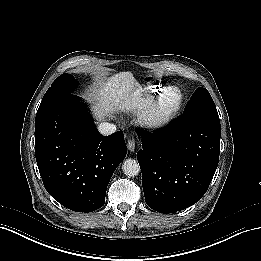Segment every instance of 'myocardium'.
<instances>
[{
    "instance_id": "obj_1",
    "label": "myocardium",
    "mask_w": 261,
    "mask_h": 261,
    "mask_svg": "<svg viewBox=\"0 0 261 261\" xmlns=\"http://www.w3.org/2000/svg\"><path fill=\"white\" fill-rule=\"evenodd\" d=\"M170 93V92H168ZM161 97H157L152 103L142 112L139 121L143 126L150 128L160 127L167 123L180 109L182 98L179 95L174 102V105L169 109H163L160 105Z\"/></svg>"
}]
</instances>
